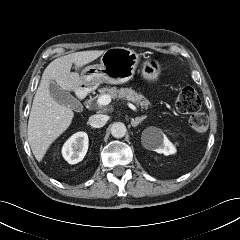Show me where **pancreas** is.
Returning <instances> with one entry per match:
<instances>
[{
	"label": "pancreas",
	"mask_w": 240,
	"mask_h": 240,
	"mask_svg": "<svg viewBox=\"0 0 240 240\" xmlns=\"http://www.w3.org/2000/svg\"><path fill=\"white\" fill-rule=\"evenodd\" d=\"M99 93L100 95H109L111 99H125L131 101L140 105L142 109H148V107L151 105L149 100H147L142 94L136 93L131 88H102L99 90Z\"/></svg>",
	"instance_id": "pancreas-1"
}]
</instances>
